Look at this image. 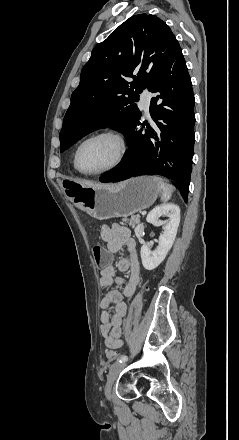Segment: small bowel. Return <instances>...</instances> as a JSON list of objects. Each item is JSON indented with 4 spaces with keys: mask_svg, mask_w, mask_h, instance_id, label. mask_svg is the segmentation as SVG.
<instances>
[{
    "mask_svg": "<svg viewBox=\"0 0 239 440\" xmlns=\"http://www.w3.org/2000/svg\"><path fill=\"white\" fill-rule=\"evenodd\" d=\"M101 237L107 244V252L111 260V254L120 251L123 246H126L128 251L127 255L121 258L116 265L119 271L129 272L127 279L117 274L111 260L100 272V285L106 289V293L100 301L102 309L100 330L106 346L110 349H117L122 345V322L127 312L124 297H132L140 283V263L136 242L128 228L118 224L103 226ZM113 284L123 286V291L112 289ZM111 306H114V314H110L108 311Z\"/></svg>",
    "mask_w": 239,
    "mask_h": 440,
    "instance_id": "obj_1",
    "label": "small bowel"
}]
</instances>
